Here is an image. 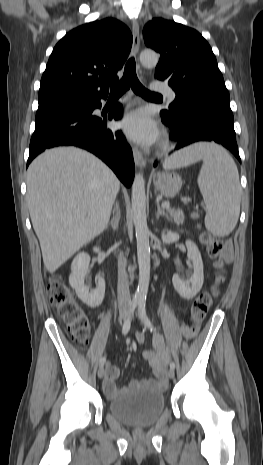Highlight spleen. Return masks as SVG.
Segmentation results:
<instances>
[{
    "mask_svg": "<svg viewBox=\"0 0 263 465\" xmlns=\"http://www.w3.org/2000/svg\"><path fill=\"white\" fill-rule=\"evenodd\" d=\"M203 160L198 185L206 204L205 227L213 235L227 236L240 213L241 188L237 167L225 149L214 143H196L166 159L165 170Z\"/></svg>",
    "mask_w": 263,
    "mask_h": 465,
    "instance_id": "obj_1",
    "label": "spleen"
}]
</instances>
